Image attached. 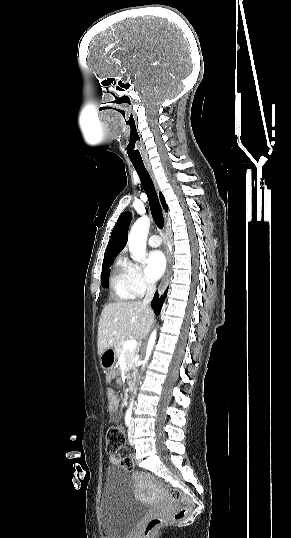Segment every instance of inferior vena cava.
<instances>
[{"label": "inferior vena cava", "mask_w": 291, "mask_h": 538, "mask_svg": "<svg viewBox=\"0 0 291 538\" xmlns=\"http://www.w3.org/2000/svg\"><path fill=\"white\" fill-rule=\"evenodd\" d=\"M155 291H156L155 282L154 281H149L148 285H147L146 295H145V298L143 299V302H142L143 305L147 306L148 304H150V302L152 301L153 296L155 294Z\"/></svg>", "instance_id": "inferior-vena-cava-1"}]
</instances>
